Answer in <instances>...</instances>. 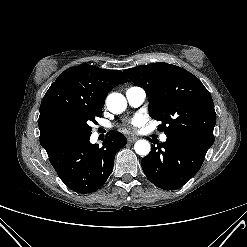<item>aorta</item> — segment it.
<instances>
[{"instance_id":"1","label":"aorta","mask_w":247,"mask_h":247,"mask_svg":"<svg viewBox=\"0 0 247 247\" xmlns=\"http://www.w3.org/2000/svg\"><path fill=\"white\" fill-rule=\"evenodd\" d=\"M107 108L114 114H121L127 107L126 98L120 93H111L106 100ZM134 150L138 155L146 156L151 150L150 143L147 140H138L134 145Z\"/></svg>"}]
</instances>
